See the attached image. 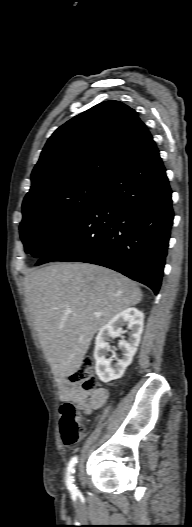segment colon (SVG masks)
Returning a JSON list of instances; mask_svg holds the SVG:
<instances>
[{
    "label": "colon",
    "mask_w": 192,
    "mask_h": 527,
    "mask_svg": "<svg viewBox=\"0 0 192 527\" xmlns=\"http://www.w3.org/2000/svg\"><path fill=\"white\" fill-rule=\"evenodd\" d=\"M71 381L86 391L95 390L98 386L94 364L90 358L82 361L80 368L71 376ZM86 431L77 407L71 401H65L60 407V433L63 443L72 446L80 441Z\"/></svg>",
    "instance_id": "5ec220e1"
}]
</instances>
